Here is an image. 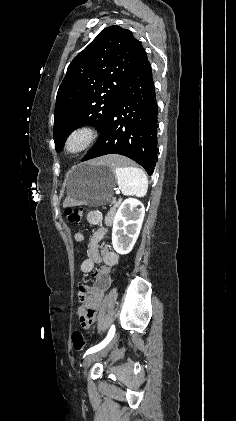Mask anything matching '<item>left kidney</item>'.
I'll return each instance as SVG.
<instances>
[{
	"label": "left kidney",
	"mask_w": 236,
	"mask_h": 421,
	"mask_svg": "<svg viewBox=\"0 0 236 421\" xmlns=\"http://www.w3.org/2000/svg\"><path fill=\"white\" fill-rule=\"evenodd\" d=\"M141 208H137V206ZM145 215L144 204L137 198H125L114 217L112 245L119 255L132 251L141 231Z\"/></svg>",
	"instance_id": "obj_1"
}]
</instances>
